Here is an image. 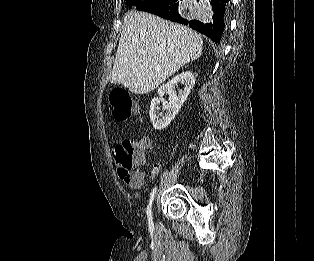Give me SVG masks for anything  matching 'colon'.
<instances>
[{
	"mask_svg": "<svg viewBox=\"0 0 314 261\" xmlns=\"http://www.w3.org/2000/svg\"><path fill=\"white\" fill-rule=\"evenodd\" d=\"M109 102L112 107V117L117 122H125L137 112V103L124 88L112 89L109 93ZM148 144L147 140L127 138L114 149L118 174L129 186H138L144 179L143 174L136 170V165Z\"/></svg>",
	"mask_w": 314,
	"mask_h": 261,
	"instance_id": "obj_1",
	"label": "colon"
}]
</instances>
